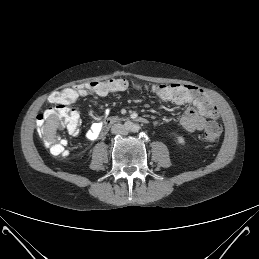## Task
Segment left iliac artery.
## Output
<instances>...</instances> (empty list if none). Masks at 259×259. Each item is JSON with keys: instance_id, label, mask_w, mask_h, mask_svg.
I'll list each match as a JSON object with an SVG mask.
<instances>
[{"instance_id": "obj_1", "label": "left iliac artery", "mask_w": 259, "mask_h": 259, "mask_svg": "<svg viewBox=\"0 0 259 259\" xmlns=\"http://www.w3.org/2000/svg\"><path fill=\"white\" fill-rule=\"evenodd\" d=\"M134 130L136 131V130H137V127H134Z\"/></svg>"}]
</instances>
